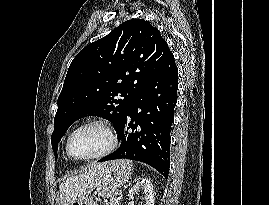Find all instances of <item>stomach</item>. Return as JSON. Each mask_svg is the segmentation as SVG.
Instances as JSON below:
<instances>
[{"instance_id":"obj_1","label":"stomach","mask_w":269,"mask_h":205,"mask_svg":"<svg viewBox=\"0 0 269 205\" xmlns=\"http://www.w3.org/2000/svg\"><path fill=\"white\" fill-rule=\"evenodd\" d=\"M133 171V164L129 160H115L107 164L99 183L96 186V193L99 197L112 199L117 191L130 179ZM70 205H97V201L89 194L74 200Z\"/></svg>"}]
</instances>
